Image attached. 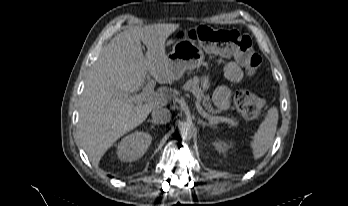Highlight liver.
<instances>
[{"mask_svg":"<svg viewBox=\"0 0 348 206\" xmlns=\"http://www.w3.org/2000/svg\"><path fill=\"white\" fill-rule=\"evenodd\" d=\"M179 24L130 27L105 46L89 73L80 103L79 134L93 165L124 134L142 124L166 99L135 105L125 95L139 90L146 76L160 84L175 80L167 65L166 39ZM141 42L146 46L144 55Z\"/></svg>","mask_w":348,"mask_h":206,"instance_id":"6515ba94","label":"liver"}]
</instances>
